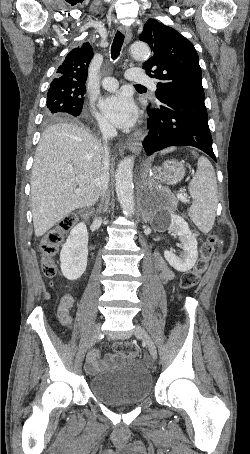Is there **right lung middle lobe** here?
Segmentation results:
<instances>
[{"mask_svg": "<svg viewBox=\"0 0 250 454\" xmlns=\"http://www.w3.org/2000/svg\"><path fill=\"white\" fill-rule=\"evenodd\" d=\"M84 93L85 88L71 92L49 88L45 120L49 122L64 116H79L83 108Z\"/></svg>", "mask_w": 250, "mask_h": 454, "instance_id": "right-lung-middle-lobe-1", "label": "right lung middle lobe"}]
</instances>
